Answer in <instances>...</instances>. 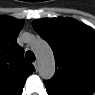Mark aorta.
<instances>
[{"instance_id": "1", "label": "aorta", "mask_w": 95, "mask_h": 95, "mask_svg": "<svg viewBox=\"0 0 95 95\" xmlns=\"http://www.w3.org/2000/svg\"><path fill=\"white\" fill-rule=\"evenodd\" d=\"M31 48L36 55L39 75L45 80L51 79L55 73V59L51 47L45 40L35 39L31 41Z\"/></svg>"}]
</instances>
